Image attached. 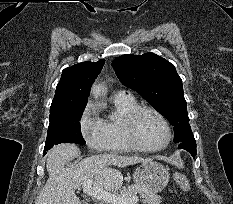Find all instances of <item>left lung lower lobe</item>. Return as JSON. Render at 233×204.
<instances>
[{"instance_id": "0a47b994", "label": "left lung lower lobe", "mask_w": 233, "mask_h": 204, "mask_svg": "<svg viewBox=\"0 0 233 204\" xmlns=\"http://www.w3.org/2000/svg\"><path fill=\"white\" fill-rule=\"evenodd\" d=\"M185 150L191 153L192 156L196 155V146H185Z\"/></svg>"}]
</instances>
